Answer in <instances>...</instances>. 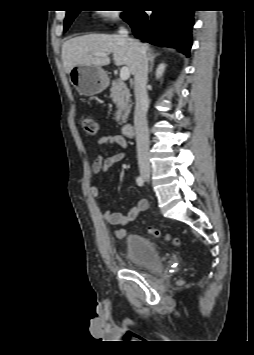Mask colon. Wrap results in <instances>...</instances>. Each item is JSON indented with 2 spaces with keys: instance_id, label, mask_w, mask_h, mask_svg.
I'll use <instances>...</instances> for the list:
<instances>
[{
  "instance_id": "colon-1",
  "label": "colon",
  "mask_w": 254,
  "mask_h": 355,
  "mask_svg": "<svg viewBox=\"0 0 254 355\" xmlns=\"http://www.w3.org/2000/svg\"><path fill=\"white\" fill-rule=\"evenodd\" d=\"M82 127H83L84 132L88 135H91V136L96 135L98 132V124L92 118H84L82 120ZM149 232L155 237H161L165 241L172 243L174 246L179 247V246L185 245L180 238L172 237L169 234H163L160 230H158L156 228H150Z\"/></svg>"
}]
</instances>
